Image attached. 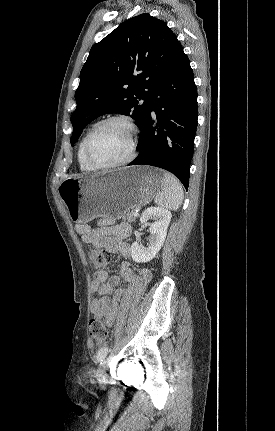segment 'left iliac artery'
Instances as JSON below:
<instances>
[{
	"label": "left iliac artery",
	"mask_w": 275,
	"mask_h": 431,
	"mask_svg": "<svg viewBox=\"0 0 275 431\" xmlns=\"http://www.w3.org/2000/svg\"><path fill=\"white\" fill-rule=\"evenodd\" d=\"M109 351H110L109 347H102L97 353V361L99 363H102L105 357L107 356V354L109 353Z\"/></svg>",
	"instance_id": "obj_1"
}]
</instances>
